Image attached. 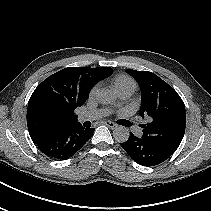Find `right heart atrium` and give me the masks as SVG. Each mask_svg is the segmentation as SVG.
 <instances>
[{
    "label": "right heart atrium",
    "mask_w": 211,
    "mask_h": 211,
    "mask_svg": "<svg viewBox=\"0 0 211 211\" xmlns=\"http://www.w3.org/2000/svg\"><path fill=\"white\" fill-rule=\"evenodd\" d=\"M98 87L94 86L91 90H90V96H94L97 92Z\"/></svg>",
    "instance_id": "1"
}]
</instances>
